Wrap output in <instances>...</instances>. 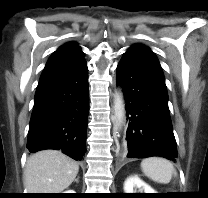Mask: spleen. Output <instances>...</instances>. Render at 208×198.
I'll return each mask as SVG.
<instances>
[{
	"label": "spleen",
	"mask_w": 208,
	"mask_h": 198,
	"mask_svg": "<svg viewBox=\"0 0 208 198\" xmlns=\"http://www.w3.org/2000/svg\"><path fill=\"white\" fill-rule=\"evenodd\" d=\"M141 169L148 178L161 184L169 183L172 176L176 175L173 164L159 157L143 159L141 162Z\"/></svg>",
	"instance_id": "1"
}]
</instances>
